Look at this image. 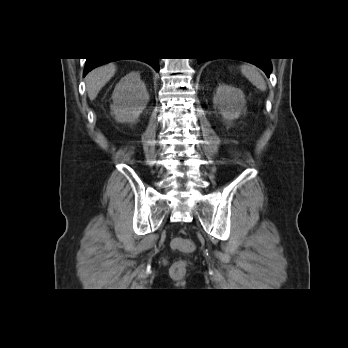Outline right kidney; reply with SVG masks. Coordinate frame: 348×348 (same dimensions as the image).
Returning <instances> with one entry per match:
<instances>
[{
  "label": "right kidney",
  "instance_id": "1",
  "mask_svg": "<svg viewBox=\"0 0 348 348\" xmlns=\"http://www.w3.org/2000/svg\"><path fill=\"white\" fill-rule=\"evenodd\" d=\"M111 113L117 122L135 124L149 102V94L139 72H130L116 85Z\"/></svg>",
  "mask_w": 348,
  "mask_h": 348
}]
</instances>
